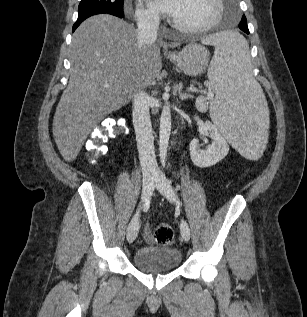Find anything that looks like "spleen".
<instances>
[{"label":"spleen","instance_id":"3e777b00","mask_svg":"<svg viewBox=\"0 0 307 317\" xmlns=\"http://www.w3.org/2000/svg\"><path fill=\"white\" fill-rule=\"evenodd\" d=\"M201 44L215 47L208 69L217 96L210 112L213 123L243 160H260L270 138L267 129L271 122H266L265 91L250 74L247 41L236 29H219L201 37Z\"/></svg>","mask_w":307,"mask_h":317}]
</instances>
